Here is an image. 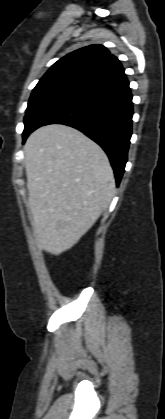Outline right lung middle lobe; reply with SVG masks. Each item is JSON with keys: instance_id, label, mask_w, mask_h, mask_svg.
<instances>
[{"instance_id": "obj_1", "label": "right lung middle lobe", "mask_w": 165, "mask_h": 419, "mask_svg": "<svg viewBox=\"0 0 165 419\" xmlns=\"http://www.w3.org/2000/svg\"><path fill=\"white\" fill-rule=\"evenodd\" d=\"M82 95L84 94L79 91L62 87H47L33 90L24 117L23 141L26 140L27 136L44 116Z\"/></svg>"}]
</instances>
